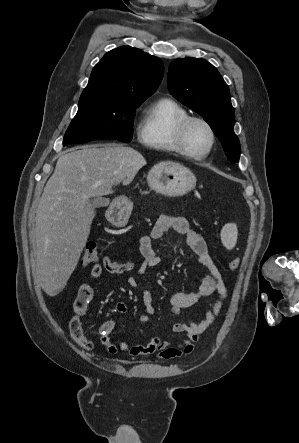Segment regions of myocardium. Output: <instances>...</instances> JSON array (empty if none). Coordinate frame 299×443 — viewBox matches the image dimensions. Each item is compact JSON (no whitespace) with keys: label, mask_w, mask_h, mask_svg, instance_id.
<instances>
[{"label":"myocardium","mask_w":299,"mask_h":443,"mask_svg":"<svg viewBox=\"0 0 299 443\" xmlns=\"http://www.w3.org/2000/svg\"><path fill=\"white\" fill-rule=\"evenodd\" d=\"M195 121L204 124L206 126V128L208 129V131L210 133V137H211V141H210V145H209L208 149L205 152L200 153V154L192 153L191 151L188 150L187 145H186V134H187L188 128H189L190 124ZM175 142H176V146H177V149L180 154H182L185 157H188L190 159L200 160V159L206 158L214 149L215 144H216V133H215L213 126L211 125V123L207 119H205L201 116L188 115L187 117L182 119L177 126L176 133H175Z\"/></svg>","instance_id":"obj_1"}]
</instances>
